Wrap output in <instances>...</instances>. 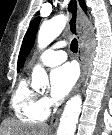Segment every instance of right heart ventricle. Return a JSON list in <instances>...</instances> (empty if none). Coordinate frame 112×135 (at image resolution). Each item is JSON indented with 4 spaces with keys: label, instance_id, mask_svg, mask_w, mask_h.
I'll return each mask as SVG.
<instances>
[{
    "label": "right heart ventricle",
    "instance_id": "obj_1",
    "mask_svg": "<svg viewBox=\"0 0 112 135\" xmlns=\"http://www.w3.org/2000/svg\"><path fill=\"white\" fill-rule=\"evenodd\" d=\"M11 107L15 116L26 123H41L49 113L42 97L31 87L27 78H23L15 88Z\"/></svg>",
    "mask_w": 112,
    "mask_h": 135
}]
</instances>
